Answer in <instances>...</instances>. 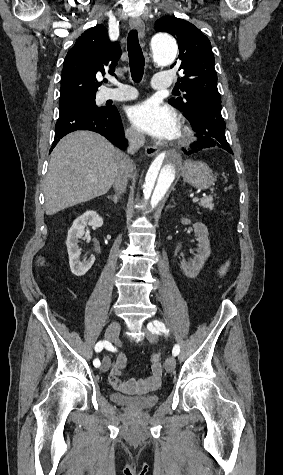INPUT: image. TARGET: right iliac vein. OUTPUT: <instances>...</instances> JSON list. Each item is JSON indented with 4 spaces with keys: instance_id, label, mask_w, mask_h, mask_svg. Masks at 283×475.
<instances>
[{
    "instance_id": "63e3f726",
    "label": "right iliac vein",
    "mask_w": 283,
    "mask_h": 475,
    "mask_svg": "<svg viewBox=\"0 0 283 475\" xmlns=\"http://www.w3.org/2000/svg\"><path fill=\"white\" fill-rule=\"evenodd\" d=\"M120 332V323L118 321H113L106 329L105 338L108 341L114 342L119 335ZM110 358L104 357L102 360L101 370L106 372L110 368Z\"/></svg>"
}]
</instances>
